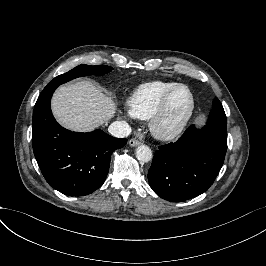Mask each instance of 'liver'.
Masks as SVG:
<instances>
[{
	"instance_id": "liver-1",
	"label": "liver",
	"mask_w": 266,
	"mask_h": 266,
	"mask_svg": "<svg viewBox=\"0 0 266 266\" xmlns=\"http://www.w3.org/2000/svg\"><path fill=\"white\" fill-rule=\"evenodd\" d=\"M116 106L90 82L62 86L55 93L52 109L55 117L73 131H90L110 119Z\"/></svg>"
}]
</instances>
